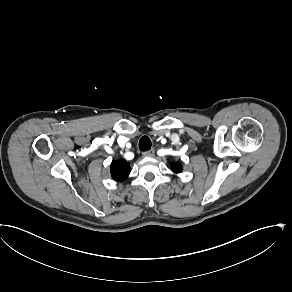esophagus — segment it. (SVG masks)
Listing matches in <instances>:
<instances>
[{"label":"esophagus","mask_w":292,"mask_h":292,"mask_svg":"<svg viewBox=\"0 0 292 292\" xmlns=\"http://www.w3.org/2000/svg\"><path fill=\"white\" fill-rule=\"evenodd\" d=\"M142 155L144 157H153L155 155V150H154V148H152L148 151L143 152Z\"/></svg>","instance_id":"obj_1"}]
</instances>
